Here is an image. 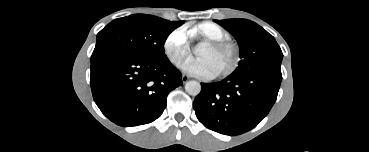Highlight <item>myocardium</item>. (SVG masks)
Masks as SVG:
<instances>
[{
    "instance_id": "1",
    "label": "myocardium",
    "mask_w": 369,
    "mask_h": 152,
    "mask_svg": "<svg viewBox=\"0 0 369 152\" xmlns=\"http://www.w3.org/2000/svg\"><path fill=\"white\" fill-rule=\"evenodd\" d=\"M202 46L207 47L209 49H213V50L229 48L233 51L234 57H233L232 64L226 70L218 74H215L214 78H226L232 75L239 67V64L241 61V54H240V49L236 43L228 39L211 40V41L205 42Z\"/></svg>"
}]
</instances>
